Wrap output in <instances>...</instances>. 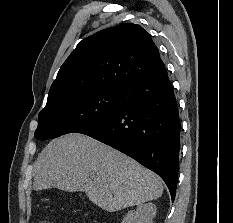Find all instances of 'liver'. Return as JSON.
I'll use <instances>...</instances> for the list:
<instances>
[{"label":"liver","instance_id":"liver-1","mask_svg":"<svg viewBox=\"0 0 233 223\" xmlns=\"http://www.w3.org/2000/svg\"><path fill=\"white\" fill-rule=\"evenodd\" d=\"M33 171L35 191L49 187L84 191L106 211L157 199L163 191L156 173L83 133L52 139L39 153Z\"/></svg>","mask_w":233,"mask_h":223}]
</instances>
